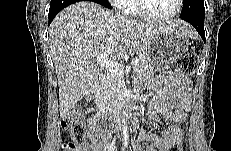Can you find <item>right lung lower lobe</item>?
Masks as SVG:
<instances>
[{"label": "right lung lower lobe", "instance_id": "98d812e1", "mask_svg": "<svg viewBox=\"0 0 231 151\" xmlns=\"http://www.w3.org/2000/svg\"><path fill=\"white\" fill-rule=\"evenodd\" d=\"M93 1L107 8H111V5L108 2V0H93ZM76 2H78V0H51L50 9H49V24L63 8Z\"/></svg>", "mask_w": 231, "mask_h": 151}]
</instances>
